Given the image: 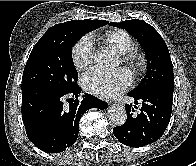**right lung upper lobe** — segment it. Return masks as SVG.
Instances as JSON below:
<instances>
[{
	"label": "right lung upper lobe",
	"mask_w": 196,
	"mask_h": 166,
	"mask_svg": "<svg viewBox=\"0 0 196 166\" xmlns=\"http://www.w3.org/2000/svg\"><path fill=\"white\" fill-rule=\"evenodd\" d=\"M83 21L87 22V23H89L91 25H100V27L108 24V21H104V20H89V19H85ZM58 25H60V24H56V25L52 26L51 28H49L45 32V35L50 34L51 32H53L58 27Z\"/></svg>",
	"instance_id": "1"
}]
</instances>
